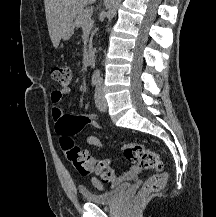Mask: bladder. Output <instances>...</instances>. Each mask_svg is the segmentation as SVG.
Instances as JSON below:
<instances>
[{"mask_svg": "<svg viewBox=\"0 0 216 217\" xmlns=\"http://www.w3.org/2000/svg\"><path fill=\"white\" fill-rule=\"evenodd\" d=\"M128 188V185H120L105 192H94L83 189L81 190V196L88 203L99 205L114 204L122 198Z\"/></svg>", "mask_w": 216, "mask_h": 217, "instance_id": "obj_1", "label": "bladder"}]
</instances>
